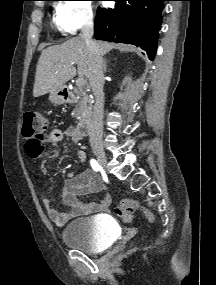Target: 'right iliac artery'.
Returning a JSON list of instances; mask_svg holds the SVG:
<instances>
[{
    "instance_id": "obj_1",
    "label": "right iliac artery",
    "mask_w": 216,
    "mask_h": 285,
    "mask_svg": "<svg viewBox=\"0 0 216 285\" xmlns=\"http://www.w3.org/2000/svg\"><path fill=\"white\" fill-rule=\"evenodd\" d=\"M90 165L93 168L94 171L98 172L100 170V165L98 164V162L95 159H91L90 160Z\"/></svg>"
}]
</instances>
